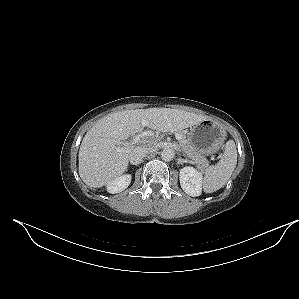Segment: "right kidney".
Here are the masks:
<instances>
[{"label": "right kidney", "instance_id": "obj_1", "mask_svg": "<svg viewBox=\"0 0 299 299\" xmlns=\"http://www.w3.org/2000/svg\"><path fill=\"white\" fill-rule=\"evenodd\" d=\"M130 182V174H124L122 176H119L107 184V192L111 194L122 192L129 186Z\"/></svg>", "mask_w": 299, "mask_h": 299}]
</instances>
